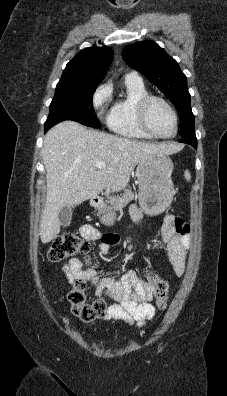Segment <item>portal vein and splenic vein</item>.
Returning a JSON list of instances; mask_svg holds the SVG:
<instances>
[{
    "instance_id": "obj_1",
    "label": "portal vein and splenic vein",
    "mask_w": 227,
    "mask_h": 396,
    "mask_svg": "<svg viewBox=\"0 0 227 396\" xmlns=\"http://www.w3.org/2000/svg\"><path fill=\"white\" fill-rule=\"evenodd\" d=\"M95 166L97 168H104L106 166V164L103 161H98V162L95 163Z\"/></svg>"
}]
</instances>
